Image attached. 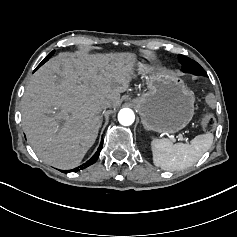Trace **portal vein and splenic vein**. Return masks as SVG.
<instances>
[{
	"mask_svg": "<svg viewBox=\"0 0 237 237\" xmlns=\"http://www.w3.org/2000/svg\"><path fill=\"white\" fill-rule=\"evenodd\" d=\"M179 136H180V139H183V136H182V133H181V132L179 133Z\"/></svg>",
	"mask_w": 237,
	"mask_h": 237,
	"instance_id": "18ae733b",
	"label": "portal vein and splenic vein"
}]
</instances>
